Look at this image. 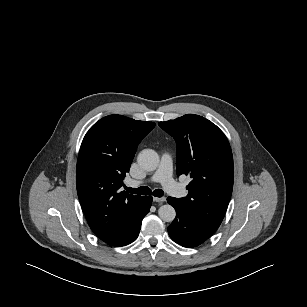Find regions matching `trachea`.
Wrapping results in <instances>:
<instances>
[{
    "instance_id": "3493384b",
    "label": "trachea",
    "mask_w": 307,
    "mask_h": 307,
    "mask_svg": "<svg viewBox=\"0 0 307 307\" xmlns=\"http://www.w3.org/2000/svg\"><path fill=\"white\" fill-rule=\"evenodd\" d=\"M125 189L127 190L128 193H132V194H140V195L152 194L155 197H162L164 195V191L162 189H156L152 192L151 189L147 186H142L139 188L125 187Z\"/></svg>"
}]
</instances>
